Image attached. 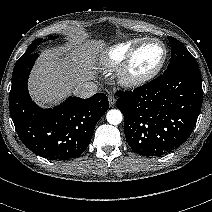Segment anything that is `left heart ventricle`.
I'll return each instance as SVG.
<instances>
[{
	"instance_id": "b2bd125f",
	"label": "left heart ventricle",
	"mask_w": 212,
	"mask_h": 212,
	"mask_svg": "<svg viewBox=\"0 0 212 212\" xmlns=\"http://www.w3.org/2000/svg\"><path fill=\"white\" fill-rule=\"evenodd\" d=\"M163 55L162 47L159 44H148L137 54L133 63L134 73H144L155 67Z\"/></svg>"
}]
</instances>
